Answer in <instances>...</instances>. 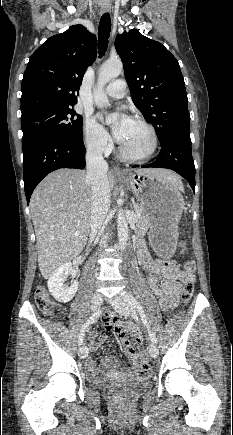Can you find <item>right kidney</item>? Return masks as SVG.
Instances as JSON below:
<instances>
[{
	"label": "right kidney",
	"mask_w": 233,
	"mask_h": 435,
	"mask_svg": "<svg viewBox=\"0 0 233 435\" xmlns=\"http://www.w3.org/2000/svg\"><path fill=\"white\" fill-rule=\"evenodd\" d=\"M71 271L72 263L67 262L57 268L49 277L47 282L49 292L58 302H69L77 292L79 285L78 281L75 280L70 287L64 284Z\"/></svg>",
	"instance_id": "ca27d5eb"
}]
</instances>
